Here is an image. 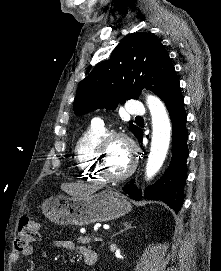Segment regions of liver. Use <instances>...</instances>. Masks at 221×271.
<instances>
[{"mask_svg":"<svg viewBox=\"0 0 221 271\" xmlns=\"http://www.w3.org/2000/svg\"><path fill=\"white\" fill-rule=\"evenodd\" d=\"M70 193H76V195H88V193H92V191H88L87 187H83V189H76L75 185H73Z\"/></svg>","mask_w":221,"mask_h":271,"instance_id":"1","label":"liver"}]
</instances>
